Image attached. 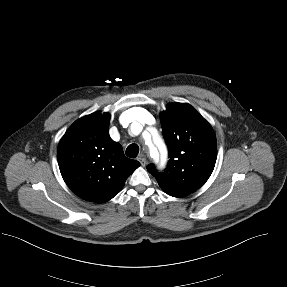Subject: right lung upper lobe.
Returning <instances> with one entry per match:
<instances>
[{"mask_svg":"<svg viewBox=\"0 0 287 287\" xmlns=\"http://www.w3.org/2000/svg\"><path fill=\"white\" fill-rule=\"evenodd\" d=\"M110 115L97 111L75 121L58 145V164L68 187L84 200L104 203L116 196L140 166L108 133Z\"/></svg>","mask_w":287,"mask_h":287,"instance_id":"obj_1","label":"right lung upper lobe"}]
</instances>
